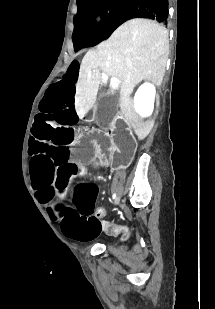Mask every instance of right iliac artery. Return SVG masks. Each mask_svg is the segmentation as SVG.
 <instances>
[{"label": "right iliac artery", "mask_w": 215, "mask_h": 309, "mask_svg": "<svg viewBox=\"0 0 215 309\" xmlns=\"http://www.w3.org/2000/svg\"><path fill=\"white\" fill-rule=\"evenodd\" d=\"M112 198H113V199H116V193L113 194Z\"/></svg>", "instance_id": "right-iliac-artery-1"}]
</instances>
